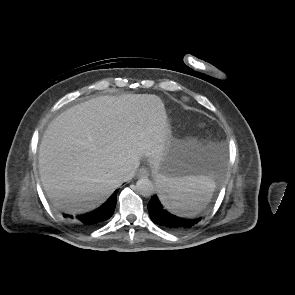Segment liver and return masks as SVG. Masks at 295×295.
<instances>
[{"instance_id":"1","label":"liver","mask_w":295,"mask_h":295,"mask_svg":"<svg viewBox=\"0 0 295 295\" xmlns=\"http://www.w3.org/2000/svg\"><path fill=\"white\" fill-rule=\"evenodd\" d=\"M171 138L164 104L156 95L90 99L61 113L43 134L42 185L58 208L90 211L109 198L143 157L156 167Z\"/></svg>"}]
</instances>
